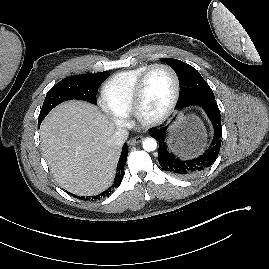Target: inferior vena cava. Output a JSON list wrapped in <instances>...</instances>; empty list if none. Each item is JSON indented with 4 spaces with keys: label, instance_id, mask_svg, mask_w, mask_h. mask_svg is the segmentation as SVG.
<instances>
[{
    "label": "inferior vena cava",
    "instance_id": "602c4592",
    "mask_svg": "<svg viewBox=\"0 0 269 269\" xmlns=\"http://www.w3.org/2000/svg\"><path fill=\"white\" fill-rule=\"evenodd\" d=\"M129 132L126 128H118L115 130L111 138V144L121 146L128 138Z\"/></svg>",
    "mask_w": 269,
    "mask_h": 269
}]
</instances>
